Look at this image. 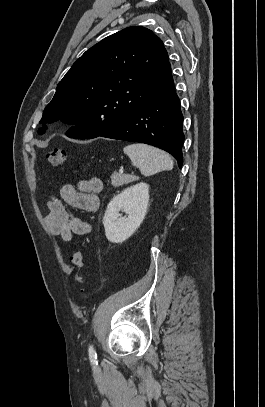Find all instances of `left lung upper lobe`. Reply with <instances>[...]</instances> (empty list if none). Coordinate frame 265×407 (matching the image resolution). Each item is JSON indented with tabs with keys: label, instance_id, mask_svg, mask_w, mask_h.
I'll use <instances>...</instances> for the list:
<instances>
[{
	"label": "left lung upper lobe",
	"instance_id": "obj_1",
	"mask_svg": "<svg viewBox=\"0 0 265 407\" xmlns=\"http://www.w3.org/2000/svg\"><path fill=\"white\" fill-rule=\"evenodd\" d=\"M173 80L163 42L140 26L123 29L87 50L59 82L40 123L76 124L67 136L91 139L130 116ZM46 129L38 130L43 133Z\"/></svg>",
	"mask_w": 265,
	"mask_h": 407
}]
</instances>
